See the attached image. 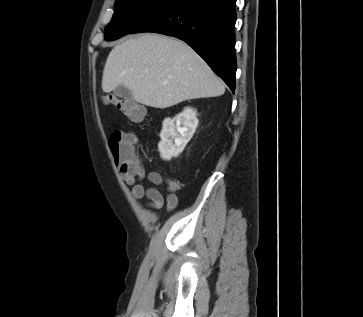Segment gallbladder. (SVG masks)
Here are the masks:
<instances>
[{
	"instance_id": "bac80fb5",
	"label": "gallbladder",
	"mask_w": 363,
	"mask_h": 317,
	"mask_svg": "<svg viewBox=\"0 0 363 317\" xmlns=\"http://www.w3.org/2000/svg\"><path fill=\"white\" fill-rule=\"evenodd\" d=\"M114 94L119 97V98H123V99H131L132 98V93L129 89H127L126 87H124L123 85H119L118 87L115 88L114 90Z\"/></svg>"
}]
</instances>
